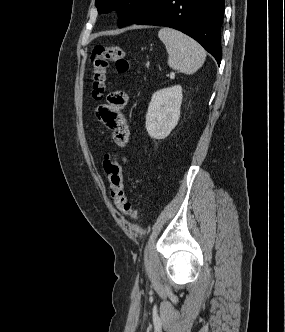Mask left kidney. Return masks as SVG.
I'll return each mask as SVG.
<instances>
[{
  "mask_svg": "<svg viewBox=\"0 0 285 332\" xmlns=\"http://www.w3.org/2000/svg\"><path fill=\"white\" fill-rule=\"evenodd\" d=\"M182 87L175 85L152 95L146 115V130L153 139H164L175 128L180 117Z\"/></svg>",
  "mask_w": 285,
  "mask_h": 332,
  "instance_id": "obj_1",
  "label": "left kidney"
}]
</instances>
